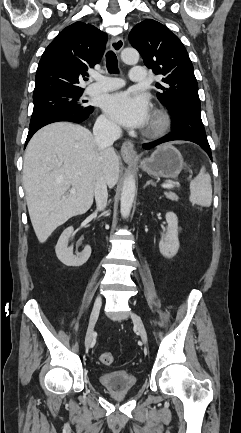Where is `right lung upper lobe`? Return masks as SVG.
Returning a JSON list of instances; mask_svg holds the SVG:
<instances>
[{"instance_id":"right-lung-upper-lobe-1","label":"right lung upper lobe","mask_w":241,"mask_h":433,"mask_svg":"<svg viewBox=\"0 0 241 433\" xmlns=\"http://www.w3.org/2000/svg\"><path fill=\"white\" fill-rule=\"evenodd\" d=\"M106 41V33L80 21L63 29L41 57L33 97L56 91H83L80 80L100 62Z\"/></svg>"}]
</instances>
